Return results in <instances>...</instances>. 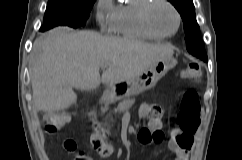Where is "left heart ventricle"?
Segmentation results:
<instances>
[{
  "label": "left heart ventricle",
  "instance_id": "1",
  "mask_svg": "<svg viewBox=\"0 0 242 160\" xmlns=\"http://www.w3.org/2000/svg\"><path fill=\"white\" fill-rule=\"evenodd\" d=\"M153 27L161 33L169 34L175 31L177 18L173 10L165 4H156L150 12Z\"/></svg>",
  "mask_w": 242,
  "mask_h": 160
}]
</instances>
